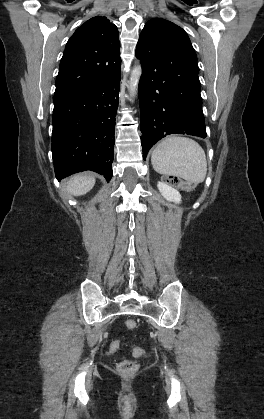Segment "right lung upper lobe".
<instances>
[{
  "instance_id": "obj_1",
  "label": "right lung upper lobe",
  "mask_w": 264,
  "mask_h": 419,
  "mask_svg": "<svg viewBox=\"0 0 264 419\" xmlns=\"http://www.w3.org/2000/svg\"><path fill=\"white\" fill-rule=\"evenodd\" d=\"M118 29L96 16L68 40L56 78L55 94L72 92L104 82L120 71Z\"/></svg>"
}]
</instances>
